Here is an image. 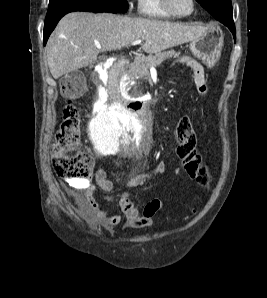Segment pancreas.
<instances>
[{"label":"pancreas","instance_id":"pancreas-1","mask_svg":"<svg viewBox=\"0 0 267 298\" xmlns=\"http://www.w3.org/2000/svg\"><path fill=\"white\" fill-rule=\"evenodd\" d=\"M179 53L171 51H160L155 55L147 57H137L131 64L128 74L131 76H139L140 78L149 77V69L160 65L166 58L172 56L177 57Z\"/></svg>","mask_w":267,"mask_h":298}]
</instances>
